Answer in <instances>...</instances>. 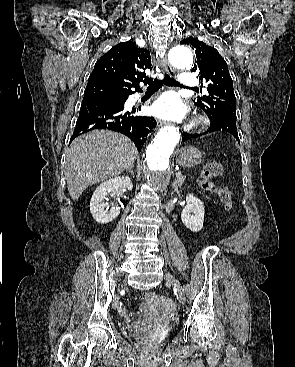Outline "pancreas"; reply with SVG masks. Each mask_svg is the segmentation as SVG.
I'll return each instance as SVG.
<instances>
[{"label": "pancreas", "mask_w": 295, "mask_h": 367, "mask_svg": "<svg viewBox=\"0 0 295 367\" xmlns=\"http://www.w3.org/2000/svg\"><path fill=\"white\" fill-rule=\"evenodd\" d=\"M185 179H186V177H185V176L180 175L179 177H177L176 183H177L179 186H181V185L184 183Z\"/></svg>", "instance_id": "1"}]
</instances>
